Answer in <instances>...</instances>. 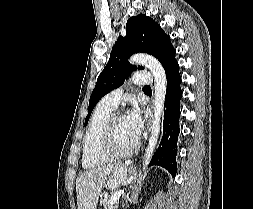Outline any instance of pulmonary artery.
Returning a JSON list of instances; mask_svg holds the SVG:
<instances>
[{
	"instance_id": "e3ab8cb5",
	"label": "pulmonary artery",
	"mask_w": 253,
	"mask_h": 209,
	"mask_svg": "<svg viewBox=\"0 0 253 209\" xmlns=\"http://www.w3.org/2000/svg\"><path fill=\"white\" fill-rule=\"evenodd\" d=\"M133 83L135 85L146 84L147 86H150L153 83V79L149 72L137 71L134 74ZM122 93H123L122 88L115 89L111 91L110 93H108L107 95H105L102 99V102L106 104L107 106L115 109L120 102Z\"/></svg>"
}]
</instances>
